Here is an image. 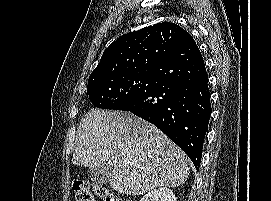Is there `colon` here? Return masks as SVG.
I'll use <instances>...</instances> for the list:
<instances>
[{
    "instance_id": "colon-1",
    "label": "colon",
    "mask_w": 271,
    "mask_h": 201,
    "mask_svg": "<svg viewBox=\"0 0 271 201\" xmlns=\"http://www.w3.org/2000/svg\"><path fill=\"white\" fill-rule=\"evenodd\" d=\"M73 190L76 201H95L94 194L102 201H122L108 187L87 180H76Z\"/></svg>"
}]
</instances>
